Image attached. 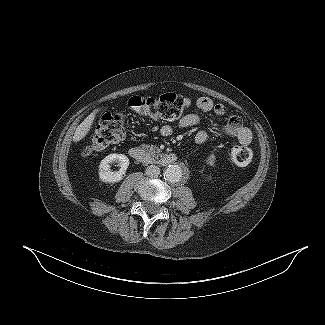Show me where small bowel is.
I'll use <instances>...</instances> for the list:
<instances>
[{"label": "small bowel", "instance_id": "c3829d8e", "mask_svg": "<svg viewBox=\"0 0 325 325\" xmlns=\"http://www.w3.org/2000/svg\"><path fill=\"white\" fill-rule=\"evenodd\" d=\"M196 107L203 112H212L217 116L226 114L227 109L222 103H215L209 97H200L196 100ZM200 116L196 113L184 115L177 123L179 128H189L200 123ZM160 134L164 137L173 133L171 125H163L160 128ZM222 131L228 135L235 136L240 145L248 146L252 141V133L250 129L244 126L242 119L238 115H232L227 123L222 127ZM195 142L202 144L207 141L208 134L204 130H199L195 134Z\"/></svg>", "mask_w": 325, "mask_h": 325}]
</instances>
